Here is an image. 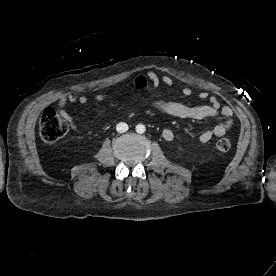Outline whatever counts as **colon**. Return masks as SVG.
Listing matches in <instances>:
<instances>
[{
    "mask_svg": "<svg viewBox=\"0 0 276 276\" xmlns=\"http://www.w3.org/2000/svg\"><path fill=\"white\" fill-rule=\"evenodd\" d=\"M68 132V123L53 107L46 108L40 118L39 133L43 141L53 143L63 138ZM231 142L227 138H221L214 144L217 152H227Z\"/></svg>",
    "mask_w": 276,
    "mask_h": 276,
    "instance_id": "5ec220e1",
    "label": "colon"
}]
</instances>
